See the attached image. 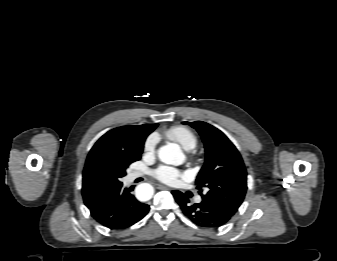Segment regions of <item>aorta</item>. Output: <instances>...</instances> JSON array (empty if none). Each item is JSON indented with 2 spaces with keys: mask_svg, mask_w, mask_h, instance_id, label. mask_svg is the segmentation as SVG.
<instances>
[{
  "mask_svg": "<svg viewBox=\"0 0 337 261\" xmlns=\"http://www.w3.org/2000/svg\"><path fill=\"white\" fill-rule=\"evenodd\" d=\"M158 157L163 163L175 166H179L185 161V155L180 146L175 143H169L160 147ZM135 194L139 200L147 201L153 195V187L148 183H141L136 187Z\"/></svg>",
  "mask_w": 337,
  "mask_h": 261,
  "instance_id": "1",
  "label": "aorta"
}]
</instances>
